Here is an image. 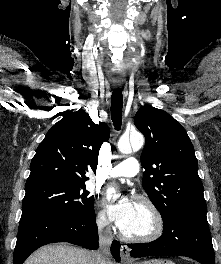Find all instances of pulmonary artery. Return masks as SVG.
Instances as JSON below:
<instances>
[{"label":"pulmonary artery","mask_w":221,"mask_h":264,"mask_svg":"<svg viewBox=\"0 0 221 264\" xmlns=\"http://www.w3.org/2000/svg\"><path fill=\"white\" fill-rule=\"evenodd\" d=\"M139 172V163L137 159L131 157L122 161L112 168L109 177H133Z\"/></svg>","instance_id":"e3ab8cb5"}]
</instances>
